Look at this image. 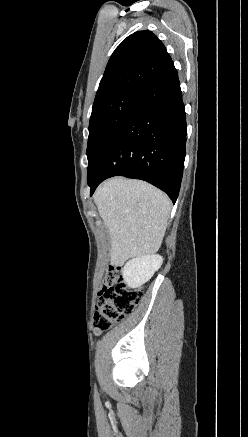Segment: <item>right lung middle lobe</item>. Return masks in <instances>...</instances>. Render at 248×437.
Listing matches in <instances>:
<instances>
[{
    "label": "right lung middle lobe",
    "instance_id": "1",
    "mask_svg": "<svg viewBox=\"0 0 248 437\" xmlns=\"http://www.w3.org/2000/svg\"><path fill=\"white\" fill-rule=\"evenodd\" d=\"M139 92H125L92 110L87 145L88 172L98 154L120 126Z\"/></svg>",
    "mask_w": 248,
    "mask_h": 437
}]
</instances>
